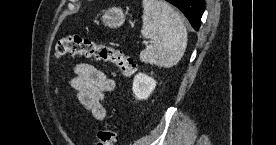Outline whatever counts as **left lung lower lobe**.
I'll return each instance as SVG.
<instances>
[{"label": "left lung lower lobe", "mask_w": 276, "mask_h": 145, "mask_svg": "<svg viewBox=\"0 0 276 145\" xmlns=\"http://www.w3.org/2000/svg\"><path fill=\"white\" fill-rule=\"evenodd\" d=\"M180 9L188 18L192 27L197 31L200 28L201 17L204 11L205 0H166Z\"/></svg>", "instance_id": "1"}]
</instances>
